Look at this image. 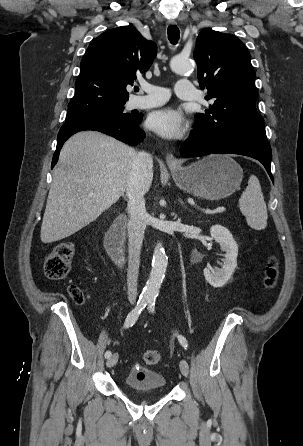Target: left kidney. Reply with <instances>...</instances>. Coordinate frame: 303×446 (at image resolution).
<instances>
[{"instance_id": "1", "label": "left kidney", "mask_w": 303, "mask_h": 446, "mask_svg": "<svg viewBox=\"0 0 303 446\" xmlns=\"http://www.w3.org/2000/svg\"><path fill=\"white\" fill-rule=\"evenodd\" d=\"M210 234L219 243L222 251L225 252L222 268L204 269L206 281L215 288L224 286L231 278L237 267L238 245L230 231L221 226L214 225L210 229Z\"/></svg>"}]
</instances>
